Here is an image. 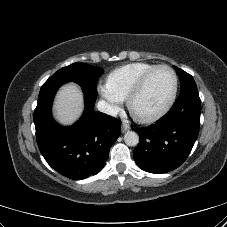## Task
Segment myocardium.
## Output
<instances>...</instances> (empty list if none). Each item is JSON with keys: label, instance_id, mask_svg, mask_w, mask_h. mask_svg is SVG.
<instances>
[{"label": "myocardium", "instance_id": "1", "mask_svg": "<svg viewBox=\"0 0 227 227\" xmlns=\"http://www.w3.org/2000/svg\"><path fill=\"white\" fill-rule=\"evenodd\" d=\"M168 69L172 72L173 77H174V86H173V90L172 93L168 99V101L166 102V104L156 113L148 115V116H141L138 115L135 111H134V101L136 99V97L141 93V91L144 89L147 81L149 80V78L159 69ZM178 88H179V78H178V74L175 71L174 68H172L171 66L167 65V64H160V65H156L155 67L151 68L150 70H148L147 72H145L140 78L139 80L136 82V84L134 85V87L132 88V90L130 91L128 97H127V106L128 109L130 111V113L133 115V117L138 120L139 122L142 123H152L155 122L159 119H161L163 116H165L169 110L172 108L173 104L175 103L176 97H177V93H178Z\"/></svg>", "mask_w": 227, "mask_h": 227}]
</instances>
